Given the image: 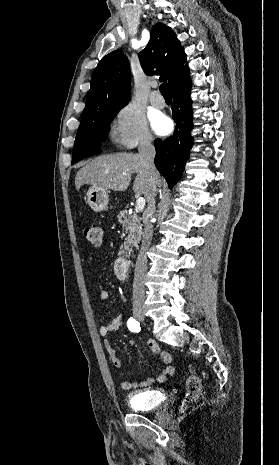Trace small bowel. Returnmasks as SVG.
<instances>
[{"mask_svg": "<svg viewBox=\"0 0 279 465\" xmlns=\"http://www.w3.org/2000/svg\"><path fill=\"white\" fill-rule=\"evenodd\" d=\"M97 297L101 301H106L109 298V293L107 289L104 287H99L97 289ZM121 326H122V315H117L110 322L105 323L100 327V334L105 338L104 345H105L106 351L109 355L111 363L117 369L122 368V363L108 337L111 334L117 332ZM147 345L153 354L159 355L160 360L164 362L165 364H167V368L165 372L158 377H149L140 383L135 382V381H130V380H123L121 382V388L123 390H131V389H136L139 387L145 388L157 382L159 383L164 382L167 379V377L173 373L174 370H173V367L171 366V362H172L171 355L168 352H162L157 342L152 339H149L147 341Z\"/></svg>", "mask_w": 279, "mask_h": 465, "instance_id": "1", "label": "small bowel"}]
</instances>
